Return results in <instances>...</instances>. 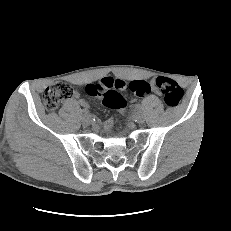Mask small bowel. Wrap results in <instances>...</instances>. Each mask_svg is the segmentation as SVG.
Listing matches in <instances>:
<instances>
[{
	"label": "small bowel",
	"mask_w": 231,
	"mask_h": 231,
	"mask_svg": "<svg viewBox=\"0 0 231 231\" xmlns=\"http://www.w3.org/2000/svg\"><path fill=\"white\" fill-rule=\"evenodd\" d=\"M150 89L152 90V92H154L156 94H160L158 88L155 85L152 84ZM74 97L78 100V103L81 106H86L85 101L80 99V93L79 92H75ZM113 124H114L113 120L107 121L106 124H105L106 129L109 130L113 126Z\"/></svg>",
	"instance_id": "c3829d8e"
}]
</instances>
